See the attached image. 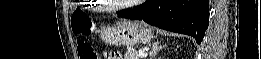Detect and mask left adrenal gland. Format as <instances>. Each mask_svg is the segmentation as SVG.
<instances>
[{
  "instance_id": "left-adrenal-gland-1",
  "label": "left adrenal gland",
  "mask_w": 261,
  "mask_h": 59,
  "mask_svg": "<svg viewBox=\"0 0 261 59\" xmlns=\"http://www.w3.org/2000/svg\"><path fill=\"white\" fill-rule=\"evenodd\" d=\"M159 44H160V42H158V41L153 43L152 48L149 51V58L150 59H154L157 52H159L163 48V46H160Z\"/></svg>"
}]
</instances>
